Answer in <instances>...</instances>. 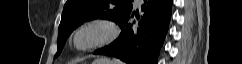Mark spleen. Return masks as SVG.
I'll list each match as a JSON object with an SVG mask.
<instances>
[{
  "label": "spleen",
  "instance_id": "3e777b00",
  "mask_svg": "<svg viewBox=\"0 0 242 64\" xmlns=\"http://www.w3.org/2000/svg\"><path fill=\"white\" fill-rule=\"evenodd\" d=\"M111 63H112V64H120V62L117 61V60H114V61H112Z\"/></svg>",
  "mask_w": 242,
  "mask_h": 64
}]
</instances>
